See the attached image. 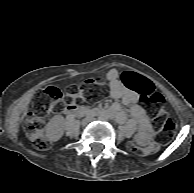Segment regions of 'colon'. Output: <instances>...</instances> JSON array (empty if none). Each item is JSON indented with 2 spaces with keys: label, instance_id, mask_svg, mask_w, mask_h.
I'll list each match as a JSON object with an SVG mask.
<instances>
[{
  "label": "colon",
  "instance_id": "obj_1",
  "mask_svg": "<svg viewBox=\"0 0 194 193\" xmlns=\"http://www.w3.org/2000/svg\"><path fill=\"white\" fill-rule=\"evenodd\" d=\"M122 80L124 84L138 92V100L147 106L148 112L154 120V125L158 129L156 141L148 147H139L130 144L129 149L136 155H153L160 149V143L173 137L176 124L167 114L164 108L163 96L153 90L151 84L142 76L135 73H124ZM104 82L100 77L88 79L79 87H72L67 100H83L94 102L103 94ZM64 102L62 92L55 87H48L41 95L34 112L27 119L25 131L28 139L38 150H47L51 147V142L45 135V119L54 111L60 109Z\"/></svg>",
  "mask_w": 194,
  "mask_h": 193
}]
</instances>
